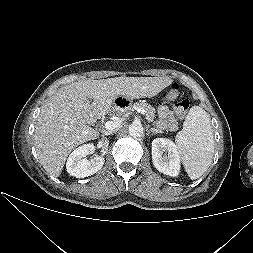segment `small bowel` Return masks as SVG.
<instances>
[{"label":"small bowel","mask_w":253,"mask_h":253,"mask_svg":"<svg viewBox=\"0 0 253 253\" xmlns=\"http://www.w3.org/2000/svg\"><path fill=\"white\" fill-rule=\"evenodd\" d=\"M158 126L169 131H176L178 122L175 113L167 106L161 105L158 108Z\"/></svg>","instance_id":"small-bowel-1"}]
</instances>
